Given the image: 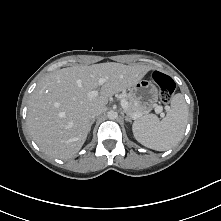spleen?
Segmentation results:
<instances>
[{
  "label": "spleen",
  "instance_id": "obj_1",
  "mask_svg": "<svg viewBox=\"0 0 221 221\" xmlns=\"http://www.w3.org/2000/svg\"><path fill=\"white\" fill-rule=\"evenodd\" d=\"M188 121V106L184 96L175 94L166 117L161 121L148 114L134 121L132 130L136 140L147 148L165 151L178 144Z\"/></svg>",
  "mask_w": 221,
  "mask_h": 221
}]
</instances>
